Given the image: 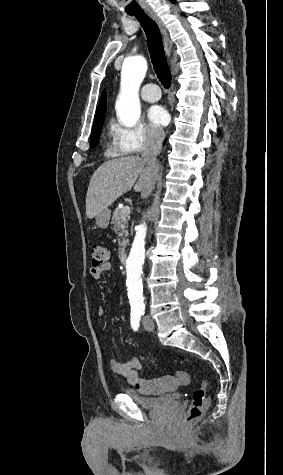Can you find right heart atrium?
<instances>
[{"mask_svg":"<svg viewBox=\"0 0 283 475\" xmlns=\"http://www.w3.org/2000/svg\"><path fill=\"white\" fill-rule=\"evenodd\" d=\"M162 144V133L145 124L135 127L115 124L107 152L111 157L120 159V155H144L161 148Z\"/></svg>","mask_w":283,"mask_h":475,"instance_id":"d8ad5b80","label":"right heart atrium"}]
</instances>
